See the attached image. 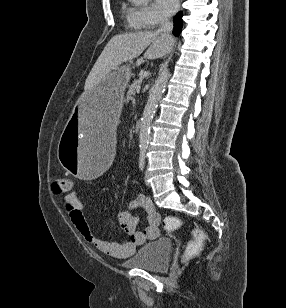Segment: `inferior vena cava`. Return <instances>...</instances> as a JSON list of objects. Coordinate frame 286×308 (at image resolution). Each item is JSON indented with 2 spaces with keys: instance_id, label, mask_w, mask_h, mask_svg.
I'll use <instances>...</instances> for the list:
<instances>
[{
  "instance_id": "inferior-vena-cava-1",
  "label": "inferior vena cava",
  "mask_w": 286,
  "mask_h": 308,
  "mask_svg": "<svg viewBox=\"0 0 286 308\" xmlns=\"http://www.w3.org/2000/svg\"><path fill=\"white\" fill-rule=\"evenodd\" d=\"M173 30V23L166 17H163L160 21V27L157 30L162 36L172 38L171 33Z\"/></svg>"
}]
</instances>
